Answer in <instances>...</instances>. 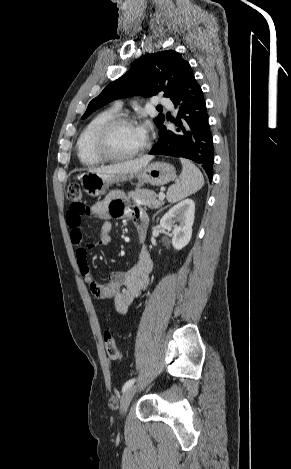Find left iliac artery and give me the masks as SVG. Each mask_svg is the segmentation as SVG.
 I'll list each match as a JSON object with an SVG mask.
<instances>
[{
  "label": "left iliac artery",
  "mask_w": 291,
  "mask_h": 469,
  "mask_svg": "<svg viewBox=\"0 0 291 469\" xmlns=\"http://www.w3.org/2000/svg\"><path fill=\"white\" fill-rule=\"evenodd\" d=\"M135 382V378H132L130 380H128L124 385H123V388H122V392H125L127 389H129Z\"/></svg>",
  "instance_id": "1"
}]
</instances>
